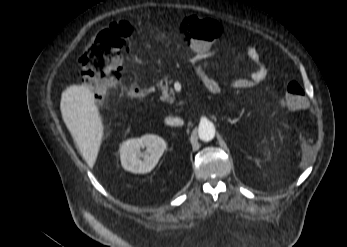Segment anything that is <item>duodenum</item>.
I'll return each mask as SVG.
<instances>
[{"label":"duodenum","instance_id":"obj_1","mask_svg":"<svg viewBox=\"0 0 347 247\" xmlns=\"http://www.w3.org/2000/svg\"><path fill=\"white\" fill-rule=\"evenodd\" d=\"M150 94V89L140 85H134L128 92L130 97L144 98Z\"/></svg>","mask_w":347,"mask_h":247}]
</instances>
